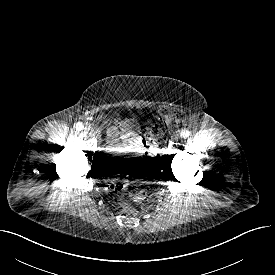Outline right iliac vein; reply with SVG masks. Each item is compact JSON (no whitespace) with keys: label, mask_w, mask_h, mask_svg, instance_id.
I'll use <instances>...</instances> for the list:
<instances>
[{"label":"right iliac vein","mask_w":275,"mask_h":275,"mask_svg":"<svg viewBox=\"0 0 275 275\" xmlns=\"http://www.w3.org/2000/svg\"><path fill=\"white\" fill-rule=\"evenodd\" d=\"M85 131H86V133H88V134L91 135V134H93V131H94V130H93L92 127L89 126V127H86V128H85Z\"/></svg>","instance_id":"right-iliac-vein-1"}]
</instances>
